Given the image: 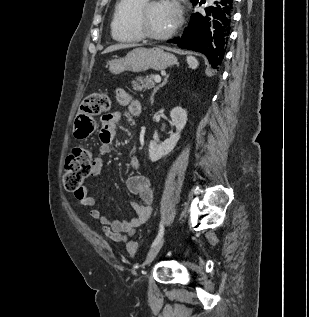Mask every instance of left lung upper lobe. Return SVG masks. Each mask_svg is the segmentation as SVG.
I'll list each match as a JSON object with an SVG mask.
<instances>
[{"label": "left lung upper lobe", "mask_w": 309, "mask_h": 317, "mask_svg": "<svg viewBox=\"0 0 309 317\" xmlns=\"http://www.w3.org/2000/svg\"><path fill=\"white\" fill-rule=\"evenodd\" d=\"M192 2H194V4L196 3V2H198V0H191Z\"/></svg>", "instance_id": "obj_1"}]
</instances>
